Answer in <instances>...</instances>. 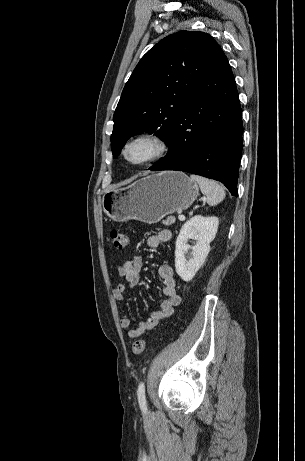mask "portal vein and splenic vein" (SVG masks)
I'll list each match as a JSON object with an SVG mask.
<instances>
[{"label":"portal vein and splenic vein","mask_w":305,"mask_h":461,"mask_svg":"<svg viewBox=\"0 0 305 461\" xmlns=\"http://www.w3.org/2000/svg\"><path fill=\"white\" fill-rule=\"evenodd\" d=\"M178 218H179L180 221H184V220H185V216H184L183 214H179Z\"/></svg>","instance_id":"portal-vein-and-splenic-vein-1"}]
</instances>
